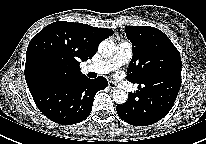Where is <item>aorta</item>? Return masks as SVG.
<instances>
[{"mask_svg": "<svg viewBox=\"0 0 206 144\" xmlns=\"http://www.w3.org/2000/svg\"><path fill=\"white\" fill-rule=\"evenodd\" d=\"M116 44L111 39L103 40L98 47L99 53L103 57H112L116 53ZM128 94L122 90L117 89L113 92V101L117 104H123L127 101Z\"/></svg>", "mask_w": 206, "mask_h": 144, "instance_id": "1", "label": "aorta"}]
</instances>
